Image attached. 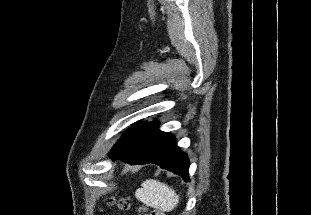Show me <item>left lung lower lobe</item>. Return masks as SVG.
I'll return each mask as SVG.
<instances>
[{
  "instance_id": "1",
  "label": "left lung lower lobe",
  "mask_w": 311,
  "mask_h": 215,
  "mask_svg": "<svg viewBox=\"0 0 311 215\" xmlns=\"http://www.w3.org/2000/svg\"><path fill=\"white\" fill-rule=\"evenodd\" d=\"M157 125V122H151L144 126L131 145L112 159L132 165L157 164L180 175L186 182L190 181L187 156L176 146L174 136L158 130Z\"/></svg>"
}]
</instances>
